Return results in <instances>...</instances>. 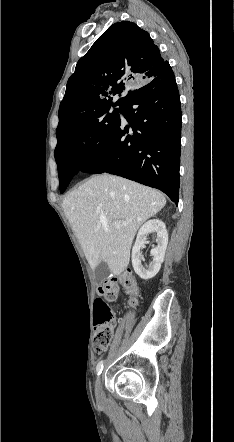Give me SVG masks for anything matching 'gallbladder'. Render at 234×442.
Wrapping results in <instances>:
<instances>
[{
	"label": "gallbladder",
	"mask_w": 234,
	"mask_h": 442,
	"mask_svg": "<svg viewBox=\"0 0 234 442\" xmlns=\"http://www.w3.org/2000/svg\"><path fill=\"white\" fill-rule=\"evenodd\" d=\"M109 275V268L106 262L102 261L95 269V280L97 283H102Z\"/></svg>",
	"instance_id": "1"
}]
</instances>
